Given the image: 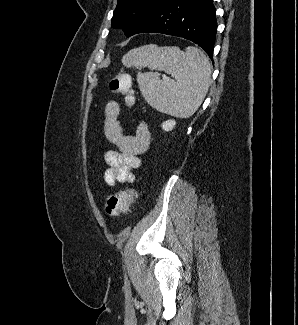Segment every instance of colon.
<instances>
[{
    "instance_id": "5ec220e1",
    "label": "colon",
    "mask_w": 298,
    "mask_h": 325,
    "mask_svg": "<svg viewBox=\"0 0 298 325\" xmlns=\"http://www.w3.org/2000/svg\"><path fill=\"white\" fill-rule=\"evenodd\" d=\"M110 90L124 97L128 106L134 104L135 98L132 92L131 78L126 71L118 72L110 81ZM136 199V191L132 188L123 189L108 196L105 202V212L111 217H117L129 211Z\"/></svg>"
}]
</instances>
